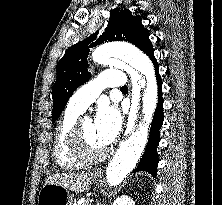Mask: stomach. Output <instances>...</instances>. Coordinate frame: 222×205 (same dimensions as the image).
<instances>
[{
	"instance_id": "obj_1",
	"label": "stomach",
	"mask_w": 222,
	"mask_h": 205,
	"mask_svg": "<svg viewBox=\"0 0 222 205\" xmlns=\"http://www.w3.org/2000/svg\"><path fill=\"white\" fill-rule=\"evenodd\" d=\"M94 182L98 176L92 175ZM72 197L68 190L57 184H45L38 195V205H71Z\"/></svg>"
}]
</instances>
